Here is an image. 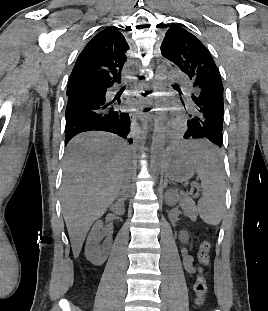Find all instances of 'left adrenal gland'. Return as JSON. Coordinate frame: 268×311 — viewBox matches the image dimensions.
<instances>
[{
  "label": "left adrenal gland",
  "instance_id": "1",
  "mask_svg": "<svg viewBox=\"0 0 268 311\" xmlns=\"http://www.w3.org/2000/svg\"><path fill=\"white\" fill-rule=\"evenodd\" d=\"M167 184H168V180H167V178H165L163 188H166Z\"/></svg>",
  "mask_w": 268,
  "mask_h": 311
}]
</instances>
